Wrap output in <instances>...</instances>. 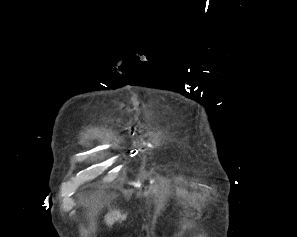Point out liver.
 Returning a JSON list of instances; mask_svg holds the SVG:
<instances>
[{"label":"liver","mask_w":297,"mask_h":237,"mask_svg":"<svg viewBox=\"0 0 297 237\" xmlns=\"http://www.w3.org/2000/svg\"><path fill=\"white\" fill-rule=\"evenodd\" d=\"M126 214H121L119 210H112L105 216L106 224L112 226L115 222L125 220Z\"/></svg>","instance_id":"obj_1"}]
</instances>
